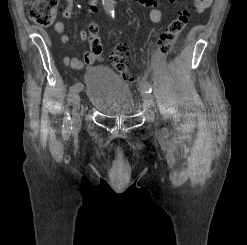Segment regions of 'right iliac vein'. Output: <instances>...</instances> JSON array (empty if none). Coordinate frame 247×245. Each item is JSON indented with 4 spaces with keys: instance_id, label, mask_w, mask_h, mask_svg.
Instances as JSON below:
<instances>
[{
    "instance_id": "1",
    "label": "right iliac vein",
    "mask_w": 247,
    "mask_h": 245,
    "mask_svg": "<svg viewBox=\"0 0 247 245\" xmlns=\"http://www.w3.org/2000/svg\"><path fill=\"white\" fill-rule=\"evenodd\" d=\"M80 96L77 94L73 99V126L79 127L81 123L80 114Z\"/></svg>"
}]
</instances>
